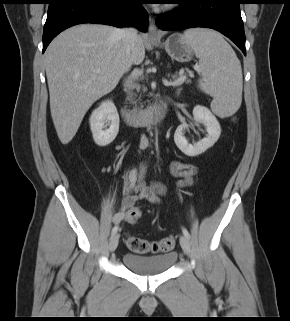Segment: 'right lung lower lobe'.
Masks as SVG:
<instances>
[{
  "label": "right lung lower lobe",
  "mask_w": 290,
  "mask_h": 321,
  "mask_svg": "<svg viewBox=\"0 0 290 321\" xmlns=\"http://www.w3.org/2000/svg\"><path fill=\"white\" fill-rule=\"evenodd\" d=\"M143 0H50L43 32V52L63 30L81 23H99L116 27H148Z\"/></svg>",
  "instance_id": "1"
}]
</instances>
